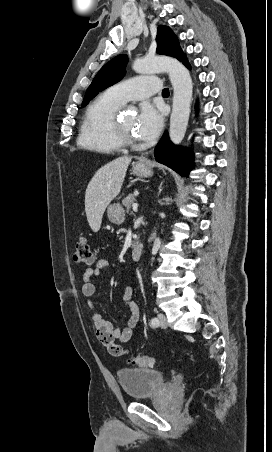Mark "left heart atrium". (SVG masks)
I'll return each instance as SVG.
<instances>
[{
    "instance_id": "39dd6f15",
    "label": "left heart atrium",
    "mask_w": 272,
    "mask_h": 452,
    "mask_svg": "<svg viewBox=\"0 0 272 452\" xmlns=\"http://www.w3.org/2000/svg\"><path fill=\"white\" fill-rule=\"evenodd\" d=\"M162 124L161 111L152 105H144L135 124L136 135L142 140H152L159 134Z\"/></svg>"
}]
</instances>
